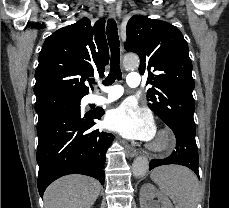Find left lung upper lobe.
Segmentation results:
<instances>
[{"instance_id": "5c2ea615", "label": "left lung upper lobe", "mask_w": 229, "mask_h": 208, "mask_svg": "<svg viewBox=\"0 0 229 208\" xmlns=\"http://www.w3.org/2000/svg\"><path fill=\"white\" fill-rule=\"evenodd\" d=\"M126 33L125 49L140 57L139 72H148L149 108L169 127L195 130L192 63L180 30L165 21L134 15Z\"/></svg>"}]
</instances>
